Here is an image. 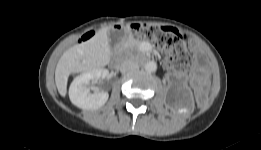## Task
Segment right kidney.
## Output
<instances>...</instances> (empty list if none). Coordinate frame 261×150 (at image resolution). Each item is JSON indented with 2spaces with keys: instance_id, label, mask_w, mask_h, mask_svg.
Instances as JSON below:
<instances>
[{
  "instance_id": "obj_1",
  "label": "right kidney",
  "mask_w": 261,
  "mask_h": 150,
  "mask_svg": "<svg viewBox=\"0 0 261 150\" xmlns=\"http://www.w3.org/2000/svg\"><path fill=\"white\" fill-rule=\"evenodd\" d=\"M108 73L107 69H94L77 76L69 88L72 104L88 110L102 107L107 102L109 94L99 90L90 93L89 85L92 80L104 79Z\"/></svg>"
}]
</instances>
